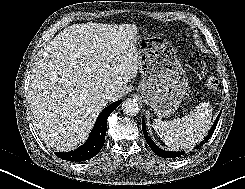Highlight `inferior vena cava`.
I'll return each instance as SVG.
<instances>
[{"instance_id":"obj_1","label":"inferior vena cava","mask_w":245,"mask_h":189,"mask_svg":"<svg viewBox=\"0 0 245 189\" xmlns=\"http://www.w3.org/2000/svg\"><path fill=\"white\" fill-rule=\"evenodd\" d=\"M113 94H114V90H113V89H110V88H107V89L105 90L104 94H103V97H104V99H106V100H110L111 97L113 96Z\"/></svg>"}]
</instances>
